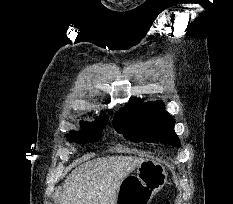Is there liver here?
<instances>
[{
  "instance_id": "6515ba94",
  "label": "liver",
  "mask_w": 233,
  "mask_h": 204,
  "mask_svg": "<svg viewBox=\"0 0 233 204\" xmlns=\"http://www.w3.org/2000/svg\"><path fill=\"white\" fill-rule=\"evenodd\" d=\"M143 161L116 156L79 165L66 177L59 204H115L122 181Z\"/></svg>"
}]
</instances>
